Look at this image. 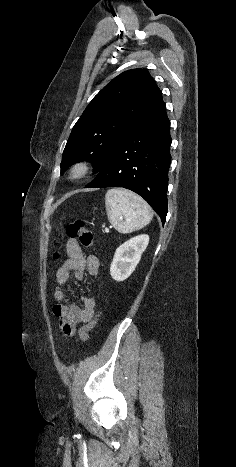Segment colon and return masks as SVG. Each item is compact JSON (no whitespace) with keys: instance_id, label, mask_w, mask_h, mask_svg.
I'll return each instance as SVG.
<instances>
[{"instance_id":"1","label":"colon","mask_w":236,"mask_h":467,"mask_svg":"<svg viewBox=\"0 0 236 467\" xmlns=\"http://www.w3.org/2000/svg\"><path fill=\"white\" fill-rule=\"evenodd\" d=\"M66 235L68 238L75 240L77 239L81 245L85 247H92L94 244V237L91 230L87 229L83 222L79 219L69 222L63 231L59 233V238H63ZM57 245L59 242L56 243ZM57 257V255H56ZM97 320H93L91 323L84 325L79 330L80 339L86 342L89 338L90 330L95 326Z\"/></svg>"}]
</instances>
